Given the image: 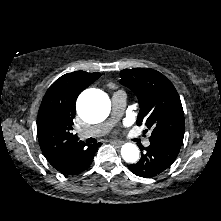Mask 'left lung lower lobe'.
<instances>
[{
  "mask_svg": "<svg viewBox=\"0 0 221 221\" xmlns=\"http://www.w3.org/2000/svg\"><path fill=\"white\" fill-rule=\"evenodd\" d=\"M181 145L164 140H150V145L142 148L141 159L128 168L137 176L151 178L168 169L177 158Z\"/></svg>",
  "mask_w": 221,
  "mask_h": 221,
  "instance_id": "obj_1",
  "label": "left lung lower lobe"
}]
</instances>
